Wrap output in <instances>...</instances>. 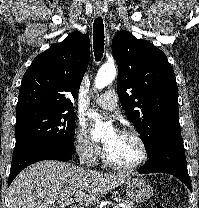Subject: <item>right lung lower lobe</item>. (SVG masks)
Listing matches in <instances>:
<instances>
[{
  "mask_svg": "<svg viewBox=\"0 0 199 208\" xmlns=\"http://www.w3.org/2000/svg\"><path fill=\"white\" fill-rule=\"evenodd\" d=\"M72 155V152L65 151L54 145L27 148L21 151L17 156L12 157L8 186L18 173L35 162L42 160L68 161L72 158Z\"/></svg>",
  "mask_w": 199,
  "mask_h": 208,
  "instance_id": "1",
  "label": "right lung lower lobe"
}]
</instances>
